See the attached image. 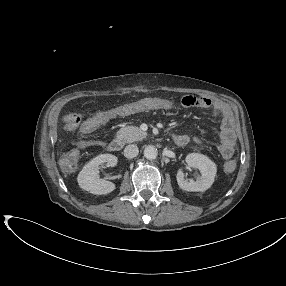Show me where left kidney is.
<instances>
[{"instance_id": "obj_1", "label": "left kidney", "mask_w": 286, "mask_h": 286, "mask_svg": "<svg viewBox=\"0 0 286 286\" xmlns=\"http://www.w3.org/2000/svg\"><path fill=\"white\" fill-rule=\"evenodd\" d=\"M186 163L191 168H196L200 171L201 177L196 181H188L184 177L182 169H179L176 175L178 185L185 191H205L211 187L216 176V164L207 156L199 153H191L186 156Z\"/></svg>"}]
</instances>
